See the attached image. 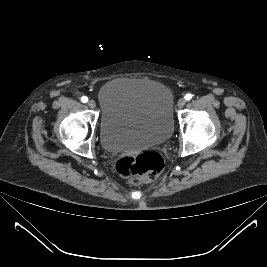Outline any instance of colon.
Listing matches in <instances>:
<instances>
[{"mask_svg":"<svg viewBox=\"0 0 267 267\" xmlns=\"http://www.w3.org/2000/svg\"><path fill=\"white\" fill-rule=\"evenodd\" d=\"M165 165L164 157L154 151H146L139 155L121 157L115 165L116 171L122 178L132 184L154 181L162 172Z\"/></svg>","mask_w":267,"mask_h":267,"instance_id":"obj_1","label":"colon"}]
</instances>
